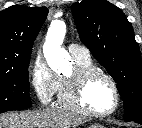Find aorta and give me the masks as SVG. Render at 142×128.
Returning <instances> with one entry per match:
<instances>
[{
  "label": "aorta",
  "mask_w": 142,
  "mask_h": 128,
  "mask_svg": "<svg viewBox=\"0 0 142 128\" xmlns=\"http://www.w3.org/2000/svg\"><path fill=\"white\" fill-rule=\"evenodd\" d=\"M66 34V25L63 21H53L48 29L43 51L48 65L55 72H64L71 68V57L61 48Z\"/></svg>",
  "instance_id": "aorta-1"
}]
</instances>
